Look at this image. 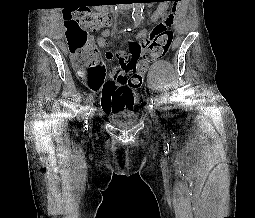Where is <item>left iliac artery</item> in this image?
<instances>
[{"instance_id": "1", "label": "left iliac artery", "mask_w": 255, "mask_h": 218, "mask_svg": "<svg viewBox=\"0 0 255 218\" xmlns=\"http://www.w3.org/2000/svg\"><path fill=\"white\" fill-rule=\"evenodd\" d=\"M148 104H149V106L153 107V99L152 98L148 99Z\"/></svg>"}]
</instances>
